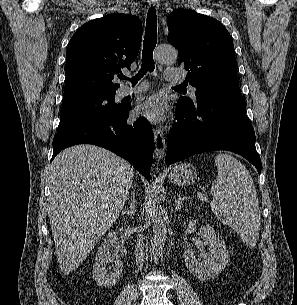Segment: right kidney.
Segmentation results:
<instances>
[{
  "mask_svg": "<svg viewBox=\"0 0 297 305\" xmlns=\"http://www.w3.org/2000/svg\"><path fill=\"white\" fill-rule=\"evenodd\" d=\"M118 240L115 231L109 232L99 247L93 265V278L98 286L109 288L114 286L122 273L123 263L112 254V249ZM114 263L113 271H108L107 264Z\"/></svg>",
  "mask_w": 297,
  "mask_h": 305,
  "instance_id": "obj_1",
  "label": "right kidney"
}]
</instances>
